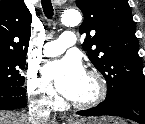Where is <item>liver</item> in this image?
Wrapping results in <instances>:
<instances>
[{
  "label": "liver",
  "instance_id": "6515ba94",
  "mask_svg": "<svg viewBox=\"0 0 145 124\" xmlns=\"http://www.w3.org/2000/svg\"><path fill=\"white\" fill-rule=\"evenodd\" d=\"M0 124H31L28 116L16 112L0 111ZM42 124H47L46 122Z\"/></svg>",
  "mask_w": 145,
  "mask_h": 124
}]
</instances>
